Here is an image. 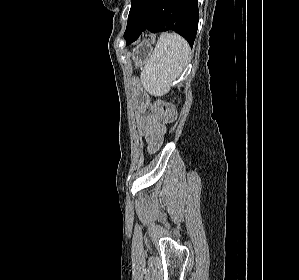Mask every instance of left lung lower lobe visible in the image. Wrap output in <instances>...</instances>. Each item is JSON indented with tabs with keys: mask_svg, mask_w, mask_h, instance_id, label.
<instances>
[{
	"mask_svg": "<svg viewBox=\"0 0 299 280\" xmlns=\"http://www.w3.org/2000/svg\"><path fill=\"white\" fill-rule=\"evenodd\" d=\"M198 20L197 0H132L124 38L129 45L145 30H174L192 47Z\"/></svg>",
	"mask_w": 299,
	"mask_h": 280,
	"instance_id": "0a47b994",
	"label": "left lung lower lobe"
}]
</instances>
